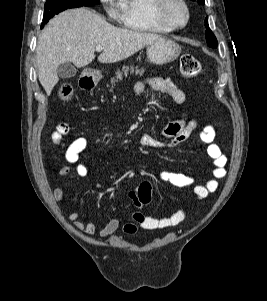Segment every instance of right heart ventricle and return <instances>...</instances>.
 Returning <instances> with one entry per match:
<instances>
[{
	"mask_svg": "<svg viewBox=\"0 0 267 301\" xmlns=\"http://www.w3.org/2000/svg\"><path fill=\"white\" fill-rule=\"evenodd\" d=\"M123 25L138 32L168 33L173 29L165 25L156 14L157 0H122Z\"/></svg>",
	"mask_w": 267,
	"mask_h": 301,
	"instance_id": "right-heart-ventricle-1",
	"label": "right heart ventricle"
}]
</instances>
